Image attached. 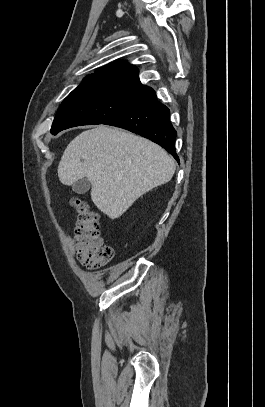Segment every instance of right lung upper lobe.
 I'll use <instances>...</instances> for the list:
<instances>
[{
    "label": "right lung upper lobe",
    "mask_w": 265,
    "mask_h": 407,
    "mask_svg": "<svg viewBox=\"0 0 265 407\" xmlns=\"http://www.w3.org/2000/svg\"><path fill=\"white\" fill-rule=\"evenodd\" d=\"M138 73L139 71L135 66L127 64L125 61H117L96 70L94 74L87 77H110L141 84Z\"/></svg>",
    "instance_id": "cb5924a9"
}]
</instances>
